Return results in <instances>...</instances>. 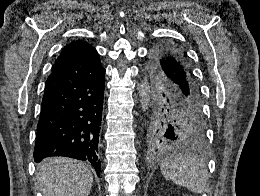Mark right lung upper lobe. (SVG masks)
I'll list each match as a JSON object with an SVG mask.
<instances>
[{
	"mask_svg": "<svg viewBox=\"0 0 260 196\" xmlns=\"http://www.w3.org/2000/svg\"><path fill=\"white\" fill-rule=\"evenodd\" d=\"M105 71L95 48L83 40L67 44L56 59L45 92L66 83L91 78Z\"/></svg>",
	"mask_w": 260,
	"mask_h": 196,
	"instance_id": "cb5924a9",
	"label": "right lung upper lobe"
}]
</instances>
